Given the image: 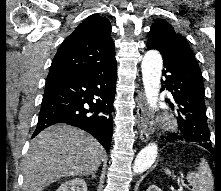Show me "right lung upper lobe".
Masks as SVG:
<instances>
[{"instance_id":"right-lung-upper-lobe-1","label":"right lung upper lobe","mask_w":221,"mask_h":191,"mask_svg":"<svg viewBox=\"0 0 221 191\" xmlns=\"http://www.w3.org/2000/svg\"><path fill=\"white\" fill-rule=\"evenodd\" d=\"M116 65L111 24L91 15L61 44L46 81L95 73Z\"/></svg>"}]
</instances>
